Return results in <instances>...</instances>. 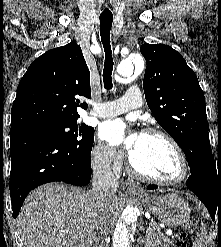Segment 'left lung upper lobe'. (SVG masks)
Segmentation results:
<instances>
[{
    "label": "left lung upper lobe",
    "mask_w": 221,
    "mask_h": 247,
    "mask_svg": "<svg viewBox=\"0 0 221 247\" xmlns=\"http://www.w3.org/2000/svg\"><path fill=\"white\" fill-rule=\"evenodd\" d=\"M147 67L143 89L157 122L186 155L189 167L212 154L204 93L180 53L163 44H143Z\"/></svg>",
    "instance_id": "1"
}]
</instances>
